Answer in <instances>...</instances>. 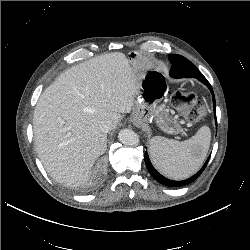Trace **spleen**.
<instances>
[{"label": "spleen", "mask_w": 250, "mask_h": 250, "mask_svg": "<svg viewBox=\"0 0 250 250\" xmlns=\"http://www.w3.org/2000/svg\"><path fill=\"white\" fill-rule=\"evenodd\" d=\"M210 140L211 132L208 126L201 127L193 137L185 141L155 136L149 145L152 163L168 178L185 179L201 167Z\"/></svg>", "instance_id": "spleen-1"}]
</instances>
